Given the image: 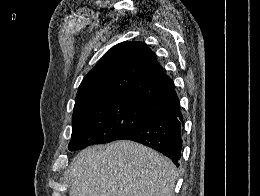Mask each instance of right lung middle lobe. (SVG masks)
Masks as SVG:
<instances>
[{
  "mask_svg": "<svg viewBox=\"0 0 260 196\" xmlns=\"http://www.w3.org/2000/svg\"><path fill=\"white\" fill-rule=\"evenodd\" d=\"M152 118L140 104L111 100L74 106L72 138L69 150L91 144L108 143Z\"/></svg>",
  "mask_w": 260,
  "mask_h": 196,
  "instance_id": "dd1d6c3e",
  "label": "right lung middle lobe"
}]
</instances>
